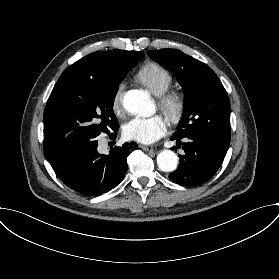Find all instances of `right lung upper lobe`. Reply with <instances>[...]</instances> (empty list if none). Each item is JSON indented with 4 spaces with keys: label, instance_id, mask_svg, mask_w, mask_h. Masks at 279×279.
<instances>
[{
    "label": "right lung upper lobe",
    "instance_id": "1",
    "mask_svg": "<svg viewBox=\"0 0 279 279\" xmlns=\"http://www.w3.org/2000/svg\"><path fill=\"white\" fill-rule=\"evenodd\" d=\"M143 57L144 54L139 51L108 50L94 52L70 65L59 79L65 77H104L117 72L127 61Z\"/></svg>",
    "mask_w": 279,
    "mask_h": 279
}]
</instances>
